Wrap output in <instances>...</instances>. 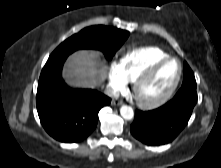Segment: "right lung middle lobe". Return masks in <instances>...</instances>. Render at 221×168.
Returning a JSON list of instances; mask_svg holds the SVG:
<instances>
[{
	"instance_id": "1",
	"label": "right lung middle lobe",
	"mask_w": 221,
	"mask_h": 168,
	"mask_svg": "<svg viewBox=\"0 0 221 168\" xmlns=\"http://www.w3.org/2000/svg\"><path fill=\"white\" fill-rule=\"evenodd\" d=\"M129 36V32L102 25L84 28L62 42L49 58L67 57L78 49L101 50L111 59Z\"/></svg>"
}]
</instances>
